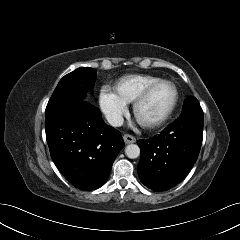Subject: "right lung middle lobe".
Instances as JSON below:
<instances>
[{
    "mask_svg": "<svg viewBox=\"0 0 240 240\" xmlns=\"http://www.w3.org/2000/svg\"><path fill=\"white\" fill-rule=\"evenodd\" d=\"M96 80V70L81 67L65 75L58 83L46 108L56 105L86 101L85 97Z\"/></svg>",
    "mask_w": 240,
    "mask_h": 240,
    "instance_id": "1",
    "label": "right lung middle lobe"
}]
</instances>
